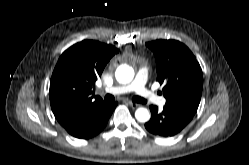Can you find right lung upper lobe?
<instances>
[{
  "label": "right lung upper lobe",
  "instance_id": "right-lung-upper-lobe-1",
  "mask_svg": "<svg viewBox=\"0 0 249 165\" xmlns=\"http://www.w3.org/2000/svg\"><path fill=\"white\" fill-rule=\"evenodd\" d=\"M112 45L94 40L74 44L60 56L50 80V104L64 127L104 103L94 96V84L118 53Z\"/></svg>",
  "mask_w": 249,
  "mask_h": 165
}]
</instances>
